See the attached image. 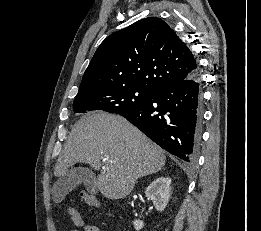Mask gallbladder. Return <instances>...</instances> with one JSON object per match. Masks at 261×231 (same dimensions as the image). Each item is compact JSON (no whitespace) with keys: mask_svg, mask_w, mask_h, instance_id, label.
<instances>
[{"mask_svg":"<svg viewBox=\"0 0 261 231\" xmlns=\"http://www.w3.org/2000/svg\"><path fill=\"white\" fill-rule=\"evenodd\" d=\"M81 183L91 192L97 191L95 176L89 169L80 166L72 167L65 175L58 178L53 190L54 200H62Z\"/></svg>","mask_w":261,"mask_h":231,"instance_id":"bac80fb5","label":"gallbladder"}]
</instances>
